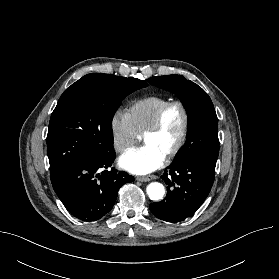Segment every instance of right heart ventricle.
Instances as JSON below:
<instances>
[{
	"label": "right heart ventricle",
	"mask_w": 279,
	"mask_h": 279,
	"mask_svg": "<svg viewBox=\"0 0 279 279\" xmlns=\"http://www.w3.org/2000/svg\"><path fill=\"white\" fill-rule=\"evenodd\" d=\"M168 101L166 97L153 95L132 102L127 108V114L139 134L152 124L158 110Z\"/></svg>",
	"instance_id": "e07e8e85"
}]
</instances>
